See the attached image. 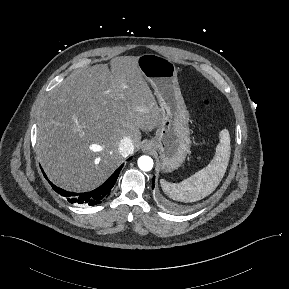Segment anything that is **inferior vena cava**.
Segmentation results:
<instances>
[{"instance_id": "1", "label": "inferior vena cava", "mask_w": 289, "mask_h": 289, "mask_svg": "<svg viewBox=\"0 0 289 289\" xmlns=\"http://www.w3.org/2000/svg\"><path fill=\"white\" fill-rule=\"evenodd\" d=\"M133 150H134V146H133L132 140L129 137H124L119 143V147H118L119 153L123 157H127L133 152Z\"/></svg>"}]
</instances>
